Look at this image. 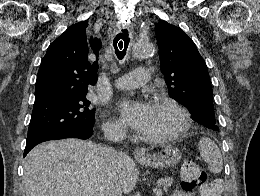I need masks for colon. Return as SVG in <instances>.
<instances>
[{"mask_svg": "<svg viewBox=\"0 0 260 196\" xmlns=\"http://www.w3.org/2000/svg\"><path fill=\"white\" fill-rule=\"evenodd\" d=\"M181 182L185 190L204 188L209 185V180L199 165L192 160H187L181 167ZM214 196L218 195L214 192H207Z\"/></svg>", "mask_w": 260, "mask_h": 196, "instance_id": "5ec220e1", "label": "colon"}]
</instances>
